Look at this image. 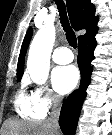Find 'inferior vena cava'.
<instances>
[{
	"label": "inferior vena cava",
	"instance_id": "inferior-vena-cava-1",
	"mask_svg": "<svg viewBox=\"0 0 112 135\" xmlns=\"http://www.w3.org/2000/svg\"><path fill=\"white\" fill-rule=\"evenodd\" d=\"M61 101L58 98H53L52 100V111L48 118V122L52 125L55 132L58 130V121L60 116Z\"/></svg>",
	"mask_w": 112,
	"mask_h": 135
}]
</instances>
